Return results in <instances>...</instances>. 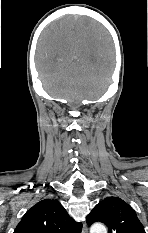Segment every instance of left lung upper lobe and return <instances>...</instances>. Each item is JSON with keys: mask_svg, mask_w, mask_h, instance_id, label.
<instances>
[{"mask_svg": "<svg viewBox=\"0 0 148 233\" xmlns=\"http://www.w3.org/2000/svg\"><path fill=\"white\" fill-rule=\"evenodd\" d=\"M87 224L102 222L108 233H145L135 211L118 197H107L87 216Z\"/></svg>", "mask_w": 148, "mask_h": 233, "instance_id": "obj_1", "label": "left lung upper lobe"}]
</instances>
